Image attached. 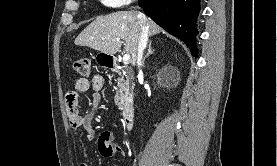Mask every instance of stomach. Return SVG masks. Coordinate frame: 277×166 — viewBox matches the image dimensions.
I'll return each mask as SVG.
<instances>
[{
  "label": "stomach",
  "instance_id": "stomach-1",
  "mask_svg": "<svg viewBox=\"0 0 277 166\" xmlns=\"http://www.w3.org/2000/svg\"><path fill=\"white\" fill-rule=\"evenodd\" d=\"M96 62L99 66L101 67H108L110 66L111 62H112V57L111 55L108 56V54L99 52L96 57Z\"/></svg>",
  "mask_w": 277,
  "mask_h": 166
}]
</instances>
